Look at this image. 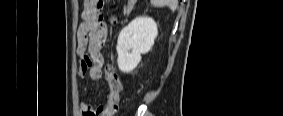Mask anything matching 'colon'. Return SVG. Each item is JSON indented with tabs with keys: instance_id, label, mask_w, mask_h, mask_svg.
<instances>
[{
	"instance_id": "obj_1",
	"label": "colon",
	"mask_w": 283,
	"mask_h": 116,
	"mask_svg": "<svg viewBox=\"0 0 283 116\" xmlns=\"http://www.w3.org/2000/svg\"><path fill=\"white\" fill-rule=\"evenodd\" d=\"M105 76L109 85L106 109L110 115H114L118 110V102L123 89V84L116 68L111 64L105 66Z\"/></svg>"
}]
</instances>
